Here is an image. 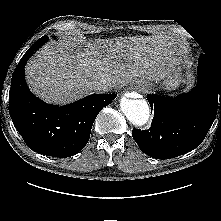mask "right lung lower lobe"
Masks as SVG:
<instances>
[{
	"label": "right lung lower lobe",
	"instance_id": "obj_1",
	"mask_svg": "<svg viewBox=\"0 0 221 221\" xmlns=\"http://www.w3.org/2000/svg\"><path fill=\"white\" fill-rule=\"evenodd\" d=\"M47 40V36L38 39L15 69L9 94V113L30 149L48 156L70 157L87 144L98 113L116 98V94H94L61 107L47 104L33 95L25 81L24 66Z\"/></svg>",
	"mask_w": 221,
	"mask_h": 221
}]
</instances>
